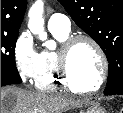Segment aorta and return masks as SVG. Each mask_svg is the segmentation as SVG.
Here are the masks:
<instances>
[{"label": "aorta", "mask_w": 123, "mask_h": 113, "mask_svg": "<svg viewBox=\"0 0 123 113\" xmlns=\"http://www.w3.org/2000/svg\"><path fill=\"white\" fill-rule=\"evenodd\" d=\"M43 12L44 3L42 0H37L28 12V28L34 35H37L41 41L45 42V46L48 49L53 50L56 44L54 41L47 40V33L44 29Z\"/></svg>", "instance_id": "1"}]
</instances>
